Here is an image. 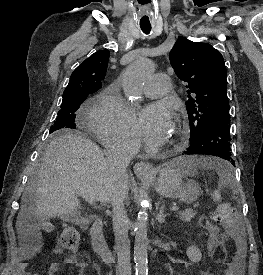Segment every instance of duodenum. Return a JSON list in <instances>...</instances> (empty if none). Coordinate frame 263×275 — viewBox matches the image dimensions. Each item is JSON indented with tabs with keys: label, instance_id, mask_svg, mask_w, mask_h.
Returning <instances> with one entry per match:
<instances>
[{
	"label": "duodenum",
	"instance_id": "1",
	"mask_svg": "<svg viewBox=\"0 0 263 275\" xmlns=\"http://www.w3.org/2000/svg\"><path fill=\"white\" fill-rule=\"evenodd\" d=\"M91 241L94 251L105 261L112 262L113 254L105 239L103 232V223L101 220H95L90 228Z\"/></svg>",
	"mask_w": 263,
	"mask_h": 275
}]
</instances>
